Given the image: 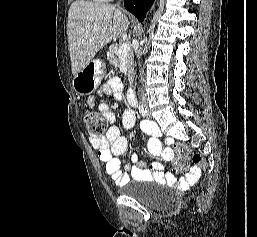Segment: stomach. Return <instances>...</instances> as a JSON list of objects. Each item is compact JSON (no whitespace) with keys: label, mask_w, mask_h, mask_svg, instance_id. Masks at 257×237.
I'll list each match as a JSON object with an SVG mask.
<instances>
[{"label":"stomach","mask_w":257,"mask_h":237,"mask_svg":"<svg viewBox=\"0 0 257 237\" xmlns=\"http://www.w3.org/2000/svg\"><path fill=\"white\" fill-rule=\"evenodd\" d=\"M104 74V65L101 61H90L74 76L72 81L74 91L80 95L92 93L99 85Z\"/></svg>","instance_id":"1"}]
</instances>
